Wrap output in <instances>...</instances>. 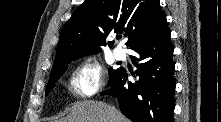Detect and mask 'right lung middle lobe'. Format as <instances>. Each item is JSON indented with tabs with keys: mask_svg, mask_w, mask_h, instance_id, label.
I'll use <instances>...</instances> for the list:
<instances>
[{
	"mask_svg": "<svg viewBox=\"0 0 221 122\" xmlns=\"http://www.w3.org/2000/svg\"><path fill=\"white\" fill-rule=\"evenodd\" d=\"M67 68V67H66ZM66 68H63L61 70H59L58 72L54 73V74H51L50 75V78H49V82H48V85H47V88H46V92H45V95L47 96L48 93L52 90V88L54 87L55 85V82L60 78V76L64 73V71L66 70ZM120 70L119 69H112V68H109L108 69V73H109V82L110 80L114 77V75Z\"/></svg>",
	"mask_w": 221,
	"mask_h": 122,
	"instance_id": "right-lung-middle-lobe-1",
	"label": "right lung middle lobe"
}]
</instances>
